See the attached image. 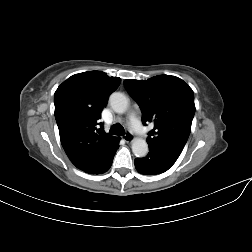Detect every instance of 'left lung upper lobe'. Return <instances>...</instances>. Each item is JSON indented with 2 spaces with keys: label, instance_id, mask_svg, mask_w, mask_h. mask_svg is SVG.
<instances>
[{
  "label": "left lung upper lobe",
  "instance_id": "5c2ea615",
  "mask_svg": "<svg viewBox=\"0 0 252 252\" xmlns=\"http://www.w3.org/2000/svg\"><path fill=\"white\" fill-rule=\"evenodd\" d=\"M124 85L141 108L143 124L154 123L147 143L181 154L195 113L193 90L182 79L170 75L127 79Z\"/></svg>",
  "mask_w": 252,
  "mask_h": 252
}]
</instances>
